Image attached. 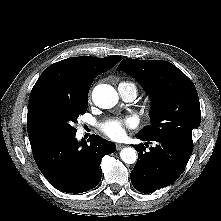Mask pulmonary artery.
<instances>
[{
    "instance_id": "pulmonary-artery-1",
    "label": "pulmonary artery",
    "mask_w": 221,
    "mask_h": 221,
    "mask_svg": "<svg viewBox=\"0 0 221 221\" xmlns=\"http://www.w3.org/2000/svg\"><path fill=\"white\" fill-rule=\"evenodd\" d=\"M118 91L125 101H132L136 98L137 90L134 86L119 84Z\"/></svg>"
}]
</instances>
